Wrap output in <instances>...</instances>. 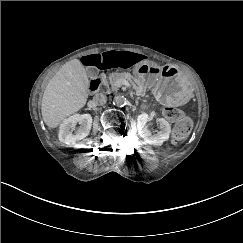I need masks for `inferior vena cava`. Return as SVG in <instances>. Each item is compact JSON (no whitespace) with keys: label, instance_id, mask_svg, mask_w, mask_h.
<instances>
[{"label":"inferior vena cava","instance_id":"1","mask_svg":"<svg viewBox=\"0 0 243 243\" xmlns=\"http://www.w3.org/2000/svg\"><path fill=\"white\" fill-rule=\"evenodd\" d=\"M93 100L97 105H104L106 103L107 97L102 93H98L94 96Z\"/></svg>","mask_w":243,"mask_h":243}]
</instances>
